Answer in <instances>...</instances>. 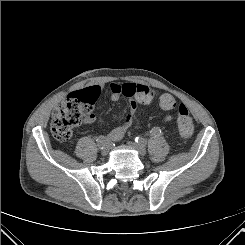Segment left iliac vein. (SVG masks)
Masks as SVG:
<instances>
[{"instance_id":"obj_1","label":"left iliac vein","mask_w":245,"mask_h":245,"mask_svg":"<svg viewBox=\"0 0 245 245\" xmlns=\"http://www.w3.org/2000/svg\"><path fill=\"white\" fill-rule=\"evenodd\" d=\"M129 145L135 149L140 155L144 156L146 154V148L144 145L142 144H138V143H135V142H130Z\"/></svg>"}]
</instances>
